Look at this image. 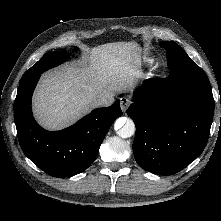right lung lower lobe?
I'll list each match as a JSON object with an SVG mask.
<instances>
[{"label":"right lung lower lobe","instance_id":"98d812e1","mask_svg":"<svg viewBox=\"0 0 221 221\" xmlns=\"http://www.w3.org/2000/svg\"><path fill=\"white\" fill-rule=\"evenodd\" d=\"M41 74L20 81L14 101L18 140L25 155L53 177H66L86 170L114 120L122 115L120 101L98 108L74 125L47 131L40 127L31 111V98Z\"/></svg>","mask_w":221,"mask_h":221}]
</instances>
